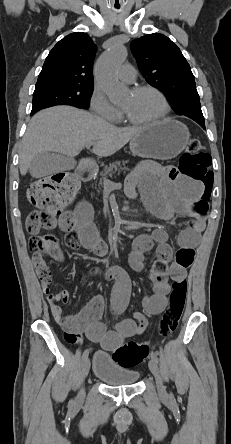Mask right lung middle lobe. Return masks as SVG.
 Masks as SVG:
<instances>
[{"mask_svg": "<svg viewBox=\"0 0 231 444\" xmlns=\"http://www.w3.org/2000/svg\"><path fill=\"white\" fill-rule=\"evenodd\" d=\"M93 86L49 84L36 86L31 113L56 105H71L87 109Z\"/></svg>", "mask_w": 231, "mask_h": 444, "instance_id": "right-lung-middle-lobe-1", "label": "right lung middle lobe"}]
</instances>
